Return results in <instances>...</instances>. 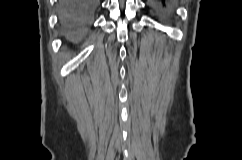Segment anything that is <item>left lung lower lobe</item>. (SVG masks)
<instances>
[{"label": "left lung lower lobe", "mask_w": 242, "mask_h": 160, "mask_svg": "<svg viewBox=\"0 0 242 160\" xmlns=\"http://www.w3.org/2000/svg\"><path fill=\"white\" fill-rule=\"evenodd\" d=\"M155 5L160 11H165L168 6V0H155Z\"/></svg>", "instance_id": "1"}]
</instances>
